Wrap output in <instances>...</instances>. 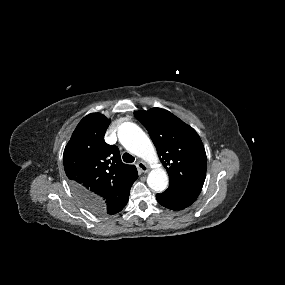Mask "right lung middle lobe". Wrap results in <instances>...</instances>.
I'll return each instance as SVG.
<instances>
[{
  "label": "right lung middle lobe",
  "instance_id": "1",
  "mask_svg": "<svg viewBox=\"0 0 285 285\" xmlns=\"http://www.w3.org/2000/svg\"><path fill=\"white\" fill-rule=\"evenodd\" d=\"M91 212L98 214V215H104L101 211H99L96 207L85 205Z\"/></svg>",
  "mask_w": 285,
  "mask_h": 285
}]
</instances>
